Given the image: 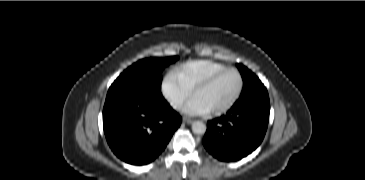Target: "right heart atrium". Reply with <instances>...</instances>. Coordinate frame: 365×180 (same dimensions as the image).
I'll return each instance as SVG.
<instances>
[{"mask_svg": "<svg viewBox=\"0 0 365 180\" xmlns=\"http://www.w3.org/2000/svg\"><path fill=\"white\" fill-rule=\"evenodd\" d=\"M162 94L174 109H180L189 99L190 93L180 82L179 76L175 72L169 73L162 82Z\"/></svg>", "mask_w": 365, "mask_h": 180, "instance_id": "obj_1", "label": "right heart atrium"}]
</instances>
